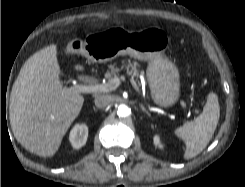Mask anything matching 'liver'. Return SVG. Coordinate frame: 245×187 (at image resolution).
I'll return each mask as SVG.
<instances>
[{
    "mask_svg": "<svg viewBox=\"0 0 245 187\" xmlns=\"http://www.w3.org/2000/svg\"><path fill=\"white\" fill-rule=\"evenodd\" d=\"M52 44L33 54L15 80L9 103L10 124L16 140L29 152L51 157L79 115L83 96L63 87Z\"/></svg>",
    "mask_w": 245,
    "mask_h": 187,
    "instance_id": "6515ba94",
    "label": "liver"
}]
</instances>
